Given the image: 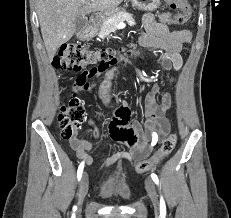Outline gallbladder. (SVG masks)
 <instances>
[{"label": "gallbladder", "mask_w": 231, "mask_h": 218, "mask_svg": "<svg viewBox=\"0 0 231 218\" xmlns=\"http://www.w3.org/2000/svg\"><path fill=\"white\" fill-rule=\"evenodd\" d=\"M86 20L83 17L78 16L75 20V30L79 32L86 25Z\"/></svg>", "instance_id": "gallbladder-1"}]
</instances>
